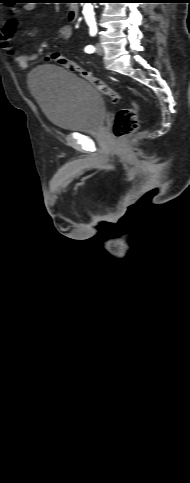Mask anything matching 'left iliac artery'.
Listing matches in <instances>:
<instances>
[{"mask_svg": "<svg viewBox=\"0 0 190 483\" xmlns=\"http://www.w3.org/2000/svg\"><path fill=\"white\" fill-rule=\"evenodd\" d=\"M89 26L91 28L90 34L92 36L95 35L96 34V29H93L95 27L94 23H89ZM94 51H95V48L92 45H88V46L85 47V52L86 53H93Z\"/></svg>", "mask_w": 190, "mask_h": 483, "instance_id": "44dca946", "label": "left iliac artery"}]
</instances>
